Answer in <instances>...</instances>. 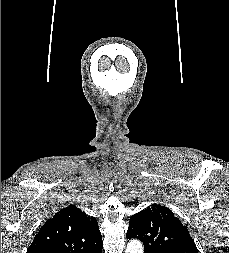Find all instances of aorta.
<instances>
[{"mask_svg": "<svg viewBox=\"0 0 229 253\" xmlns=\"http://www.w3.org/2000/svg\"><path fill=\"white\" fill-rule=\"evenodd\" d=\"M125 253H143L142 243L138 240H131L127 244V248H126Z\"/></svg>", "mask_w": 229, "mask_h": 253, "instance_id": "1", "label": "aorta"}]
</instances>
